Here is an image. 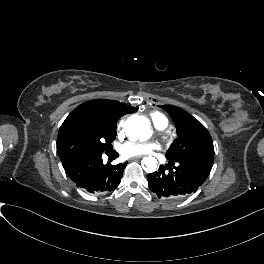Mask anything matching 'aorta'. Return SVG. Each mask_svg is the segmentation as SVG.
<instances>
[{
    "label": "aorta",
    "instance_id": "1",
    "mask_svg": "<svg viewBox=\"0 0 264 264\" xmlns=\"http://www.w3.org/2000/svg\"><path fill=\"white\" fill-rule=\"evenodd\" d=\"M125 129L129 137L136 140H147L151 135L150 124L144 117L137 115L131 116L126 120ZM156 159L148 156L142 159V166L147 171H153L156 168Z\"/></svg>",
    "mask_w": 264,
    "mask_h": 264
}]
</instances>
